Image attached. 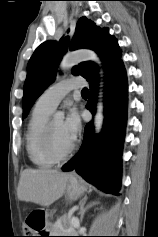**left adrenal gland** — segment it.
I'll list each match as a JSON object with an SVG mask.
<instances>
[{"label":"left adrenal gland","instance_id":"left-adrenal-gland-1","mask_svg":"<svg viewBox=\"0 0 158 237\" xmlns=\"http://www.w3.org/2000/svg\"><path fill=\"white\" fill-rule=\"evenodd\" d=\"M86 201H87V198H83L81 201H80V210H79V215H80V221L82 222L83 218H84V214L85 212L91 208L92 206H94L95 204H98V202H91L89 205H87L85 207V204H86Z\"/></svg>","mask_w":158,"mask_h":237}]
</instances>
